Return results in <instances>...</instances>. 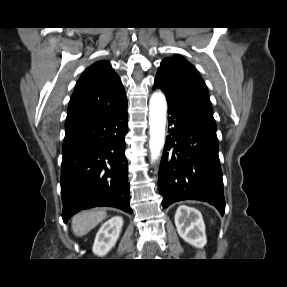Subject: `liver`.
I'll return each instance as SVG.
<instances>
[{"label": "liver", "instance_id": "liver-1", "mask_svg": "<svg viewBox=\"0 0 287 287\" xmlns=\"http://www.w3.org/2000/svg\"><path fill=\"white\" fill-rule=\"evenodd\" d=\"M104 210H88L76 214L72 218V230L76 236H83L95 228L106 218Z\"/></svg>", "mask_w": 287, "mask_h": 287}]
</instances>
